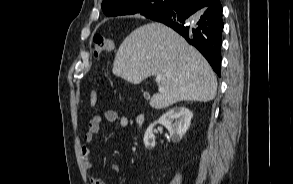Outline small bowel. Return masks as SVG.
I'll use <instances>...</instances> for the list:
<instances>
[{
  "mask_svg": "<svg viewBox=\"0 0 293 184\" xmlns=\"http://www.w3.org/2000/svg\"><path fill=\"white\" fill-rule=\"evenodd\" d=\"M116 123L120 127H126L128 125V119L125 116L120 115L114 110H107L103 115H95L91 117L88 122V129L84 135V144L81 148L84 166L86 169H90L92 162L90 159V144L93 142L95 135L100 131L103 122ZM112 171L119 173L121 168L119 165L114 164L111 166ZM90 184H106L105 181L89 176Z\"/></svg>",
  "mask_w": 293,
  "mask_h": 184,
  "instance_id": "c3829d8e",
  "label": "small bowel"
}]
</instances>
